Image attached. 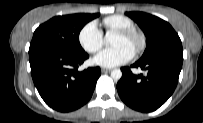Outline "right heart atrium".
<instances>
[{"mask_svg": "<svg viewBox=\"0 0 203 123\" xmlns=\"http://www.w3.org/2000/svg\"><path fill=\"white\" fill-rule=\"evenodd\" d=\"M78 40L81 47L88 53H96L102 48L104 43L102 32L94 21L82 27Z\"/></svg>", "mask_w": 203, "mask_h": 123, "instance_id": "d8ad5b80", "label": "right heart atrium"}]
</instances>
